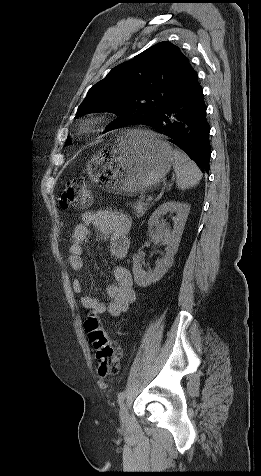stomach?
Wrapping results in <instances>:
<instances>
[{
  "label": "stomach",
  "mask_w": 261,
  "mask_h": 476,
  "mask_svg": "<svg viewBox=\"0 0 261 476\" xmlns=\"http://www.w3.org/2000/svg\"><path fill=\"white\" fill-rule=\"evenodd\" d=\"M174 164L170 145L147 130L121 132L86 163L94 182L120 194H137L155 187Z\"/></svg>",
  "instance_id": "obj_1"
}]
</instances>
